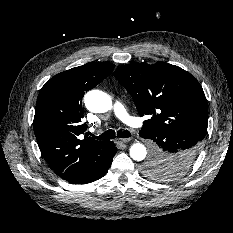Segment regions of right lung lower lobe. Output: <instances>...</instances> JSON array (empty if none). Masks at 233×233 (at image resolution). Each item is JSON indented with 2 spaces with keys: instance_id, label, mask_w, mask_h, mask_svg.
<instances>
[{
  "instance_id": "right-lung-lower-lobe-1",
  "label": "right lung lower lobe",
  "mask_w": 233,
  "mask_h": 233,
  "mask_svg": "<svg viewBox=\"0 0 233 233\" xmlns=\"http://www.w3.org/2000/svg\"><path fill=\"white\" fill-rule=\"evenodd\" d=\"M115 154V144L108 141L60 177L74 184H86L98 180L107 173Z\"/></svg>"
}]
</instances>
